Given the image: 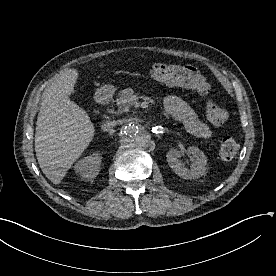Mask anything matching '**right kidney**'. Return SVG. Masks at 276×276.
<instances>
[{
	"instance_id": "1",
	"label": "right kidney",
	"mask_w": 276,
	"mask_h": 276,
	"mask_svg": "<svg viewBox=\"0 0 276 276\" xmlns=\"http://www.w3.org/2000/svg\"><path fill=\"white\" fill-rule=\"evenodd\" d=\"M101 157L98 153H93L78 161L74 169L82 178L90 180L96 178L99 174Z\"/></svg>"
}]
</instances>
